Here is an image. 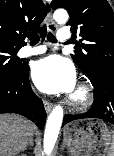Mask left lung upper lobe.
Listing matches in <instances>:
<instances>
[{
	"instance_id": "1",
	"label": "left lung upper lobe",
	"mask_w": 114,
	"mask_h": 156,
	"mask_svg": "<svg viewBox=\"0 0 114 156\" xmlns=\"http://www.w3.org/2000/svg\"><path fill=\"white\" fill-rule=\"evenodd\" d=\"M51 7L69 12L72 36L80 38L71 56L90 82L114 77V14L109 3L106 0H53Z\"/></svg>"
}]
</instances>
